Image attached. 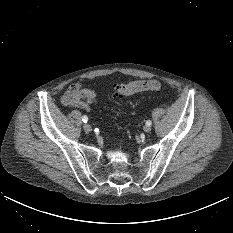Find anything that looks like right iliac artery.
I'll list each match as a JSON object with an SVG mask.
<instances>
[{"mask_svg":"<svg viewBox=\"0 0 233 233\" xmlns=\"http://www.w3.org/2000/svg\"><path fill=\"white\" fill-rule=\"evenodd\" d=\"M82 121H83L84 123H87L88 117H87L86 115H84V116L82 117Z\"/></svg>","mask_w":233,"mask_h":233,"instance_id":"right-iliac-artery-1","label":"right iliac artery"}]
</instances>
